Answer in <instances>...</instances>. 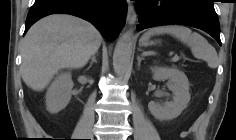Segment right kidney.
<instances>
[{
	"label": "right kidney",
	"mask_w": 236,
	"mask_h": 140,
	"mask_svg": "<svg viewBox=\"0 0 236 140\" xmlns=\"http://www.w3.org/2000/svg\"><path fill=\"white\" fill-rule=\"evenodd\" d=\"M73 88V81L70 72L59 74L46 93V109L55 114L64 109L70 99Z\"/></svg>",
	"instance_id": "right-kidney-1"
}]
</instances>
